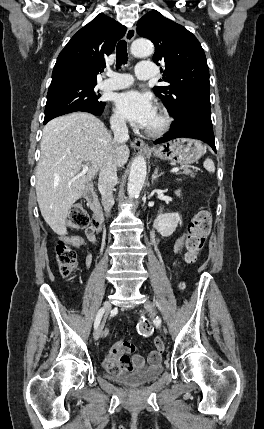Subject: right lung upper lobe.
<instances>
[{"label":"right lung upper lobe","instance_id":"obj_1","mask_svg":"<svg viewBox=\"0 0 264 429\" xmlns=\"http://www.w3.org/2000/svg\"><path fill=\"white\" fill-rule=\"evenodd\" d=\"M126 27L103 13L80 29L67 43L54 66L50 88L68 84H97V74Z\"/></svg>","mask_w":264,"mask_h":429}]
</instances>
